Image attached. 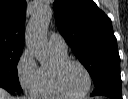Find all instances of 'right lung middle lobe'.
Here are the masks:
<instances>
[{"mask_svg": "<svg viewBox=\"0 0 128 99\" xmlns=\"http://www.w3.org/2000/svg\"><path fill=\"white\" fill-rule=\"evenodd\" d=\"M22 49L0 48V84L22 92L17 73V64Z\"/></svg>", "mask_w": 128, "mask_h": 99, "instance_id": "dd1d6c3e", "label": "right lung middle lobe"}]
</instances>
